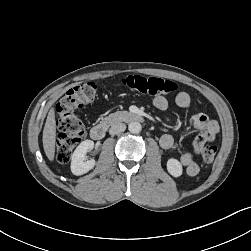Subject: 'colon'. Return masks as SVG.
Returning a JSON list of instances; mask_svg holds the SVG:
<instances>
[{"label":"colon","instance_id":"colon-1","mask_svg":"<svg viewBox=\"0 0 251 251\" xmlns=\"http://www.w3.org/2000/svg\"><path fill=\"white\" fill-rule=\"evenodd\" d=\"M124 87L146 95L159 96L174 92L176 84L170 80L129 75L121 80ZM97 94L94 82L79 83L68 89L56 106L58 115L57 126L60 131L56 144V158L62 163H68L74 148L84 135V126L76 111L93 102ZM217 153L215 145L204 146L201 156L204 162L210 163Z\"/></svg>","mask_w":251,"mask_h":251}]
</instances>
